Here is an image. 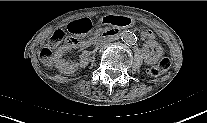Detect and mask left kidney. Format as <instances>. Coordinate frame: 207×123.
<instances>
[{"instance_id":"1","label":"left kidney","mask_w":207,"mask_h":123,"mask_svg":"<svg viewBox=\"0 0 207 123\" xmlns=\"http://www.w3.org/2000/svg\"><path fill=\"white\" fill-rule=\"evenodd\" d=\"M156 48H157L158 50L161 49L160 46H157ZM159 57H160L159 54L156 55V56L154 55L153 57H151L149 53H146V54H145V61H146L147 63H151V64H153V63H156V62L158 61Z\"/></svg>"}]
</instances>
